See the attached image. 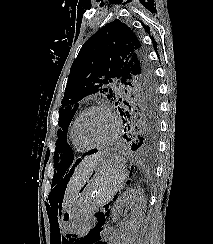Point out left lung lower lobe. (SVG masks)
<instances>
[{
    "mask_svg": "<svg viewBox=\"0 0 213 244\" xmlns=\"http://www.w3.org/2000/svg\"><path fill=\"white\" fill-rule=\"evenodd\" d=\"M121 115L125 118L124 123H127L123 138L127 141L129 148L141 156L153 157L157 151L158 122L135 120L127 112ZM94 152L91 150L83 156ZM79 162L80 160L76 161L73 167Z\"/></svg>",
    "mask_w": 213,
    "mask_h": 244,
    "instance_id": "1",
    "label": "left lung lower lobe"
}]
</instances>
